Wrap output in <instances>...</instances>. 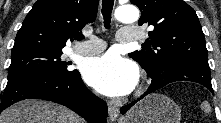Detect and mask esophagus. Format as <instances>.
<instances>
[{"label":"esophagus","instance_id":"esophagus-1","mask_svg":"<svg viewBox=\"0 0 221 123\" xmlns=\"http://www.w3.org/2000/svg\"><path fill=\"white\" fill-rule=\"evenodd\" d=\"M108 113L112 122L116 121L119 115V109L115 105L108 104Z\"/></svg>","mask_w":221,"mask_h":123}]
</instances>
